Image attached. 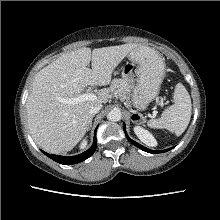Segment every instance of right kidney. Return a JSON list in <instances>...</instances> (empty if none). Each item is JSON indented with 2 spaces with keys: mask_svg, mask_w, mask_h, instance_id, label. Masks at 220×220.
I'll list each match as a JSON object with an SVG mask.
<instances>
[{
  "mask_svg": "<svg viewBox=\"0 0 220 220\" xmlns=\"http://www.w3.org/2000/svg\"><path fill=\"white\" fill-rule=\"evenodd\" d=\"M86 145H87V140L84 139V140L81 142L80 147H81V148H84Z\"/></svg>",
  "mask_w": 220,
  "mask_h": 220,
  "instance_id": "right-kidney-1",
  "label": "right kidney"
}]
</instances>
